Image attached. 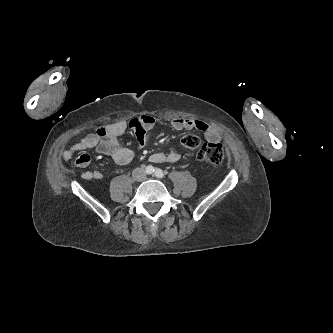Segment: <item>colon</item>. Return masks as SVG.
<instances>
[{
  "mask_svg": "<svg viewBox=\"0 0 333 333\" xmlns=\"http://www.w3.org/2000/svg\"><path fill=\"white\" fill-rule=\"evenodd\" d=\"M181 143L189 150H198L197 158L201 161H205L213 165H219L225 159V152L222 145L211 142L201 144L200 137L194 134L184 136Z\"/></svg>",
  "mask_w": 333,
  "mask_h": 333,
  "instance_id": "5ec220e1",
  "label": "colon"
}]
</instances>
